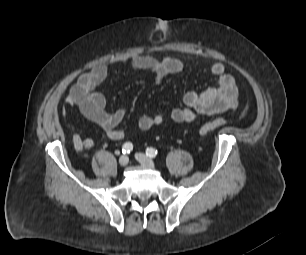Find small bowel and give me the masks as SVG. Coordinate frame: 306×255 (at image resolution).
<instances>
[{
    "mask_svg": "<svg viewBox=\"0 0 306 255\" xmlns=\"http://www.w3.org/2000/svg\"><path fill=\"white\" fill-rule=\"evenodd\" d=\"M129 64L134 70H145L152 73L156 83H160L165 77L183 71L184 61L178 57L168 56L162 59L152 55H142L121 60ZM107 67L96 65L87 72L82 73L72 85L66 104L69 107H77L82 115L97 125L105 135L112 140H122L128 132L119 128V124L127 114L125 108L108 110L104 95L97 87L107 77ZM209 73L217 79V86L209 88L201 93L186 91L183 95V107L175 108L171 118L177 123H189L196 120L199 114H218L230 109H235L239 103V89L235 78L226 72L225 66L216 62L209 67ZM63 114L66 109H62ZM165 117L161 113L154 115L142 114L137 119V127L147 131L161 125ZM86 148L94 145L92 138H86L83 142Z\"/></svg>",
    "mask_w": 306,
    "mask_h": 255,
    "instance_id": "obj_1",
    "label": "small bowel"
}]
</instances>
